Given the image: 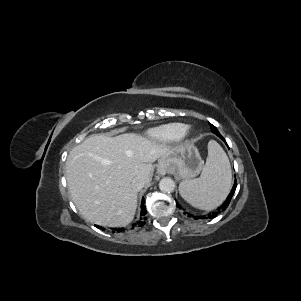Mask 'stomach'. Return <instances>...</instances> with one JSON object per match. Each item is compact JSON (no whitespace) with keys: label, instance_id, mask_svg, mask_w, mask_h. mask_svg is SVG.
<instances>
[{"label":"stomach","instance_id":"1","mask_svg":"<svg viewBox=\"0 0 301 301\" xmlns=\"http://www.w3.org/2000/svg\"><path fill=\"white\" fill-rule=\"evenodd\" d=\"M159 168H165L181 179L196 177L203 169L198 149L191 143L172 148L170 153L159 160Z\"/></svg>","mask_w":301,"mask_h":301}]
</instances>
